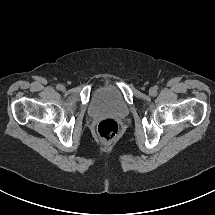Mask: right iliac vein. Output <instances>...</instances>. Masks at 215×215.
<instances>
[{
  "label": "right iliac vein",
  "instance_id": "obj_1",
  "mask_svg": "<svg viewBox=\"0 0 215 215\" xmlns=\"http://www.w3.org/2000/svg\"><path fill=\"white\" fill-rule=\"evenodd\" d=\"M60 90L64 91L65 90V86H61Z\"/></svg>",
  "mask_w": 215,
  "mask_h": 215
}]
</instances>
